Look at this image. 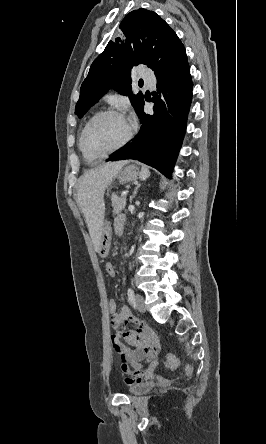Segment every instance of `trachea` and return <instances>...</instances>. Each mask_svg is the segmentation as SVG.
<instances>
[{
	"mask_svg": "<svg viewBox=\"0 0 266 444\" xmlns=\"http://www.w3.org/2000/svg\"><path fill=\"white\" fill-rule=\"evenodd\" d=\"M139 84H143V81H140Z\"/></svg>",
	"mask_w": 266,
	"mask_h": 444,
	"instance_id": "3493384b",
	"label": "trachea"
}]
</instances>
